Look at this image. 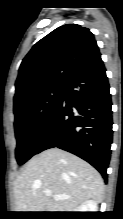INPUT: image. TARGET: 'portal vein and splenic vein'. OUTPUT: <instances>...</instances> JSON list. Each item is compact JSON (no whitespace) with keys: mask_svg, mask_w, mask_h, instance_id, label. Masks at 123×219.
<instances>
[{"mask_svg":"<svg viewBox=\"0 0 123 219\" xmlns=\"http://www.w3.org/2000/svg\"><path fill=\"white\" fill-rule=\"evenodd\" d=\"M44 193L46 196H52V192L50 190H45ZM53 198L55 200H62V199H69L70 197L67 195H54Z\"/></svg>","mask_w":123,"mask_h":219,"instance_id":"1","label":"portal vein and splenic vein"}]
</instances>
